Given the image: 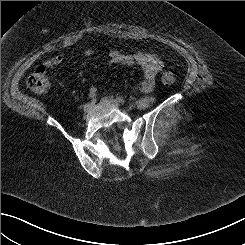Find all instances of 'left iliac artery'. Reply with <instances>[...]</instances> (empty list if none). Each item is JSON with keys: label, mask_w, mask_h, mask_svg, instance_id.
Segmentation results:
<instances>
[{"label": "left iliac artery", "mask_w": 245, "mask_h": 245, "mask_svg": "<svg viewBox=\"0 0 245 245\" xmlns=\"http://www.w3.org/2000/svg\"><path fill=\"white\" fill-rule=\"evenodd\" d=\"M116 101L119 102V103H121V104H124L125 103V100L122 97H117L116 98Z\"/></svg>", "instance_id": "44dca946"}]
</instances>
